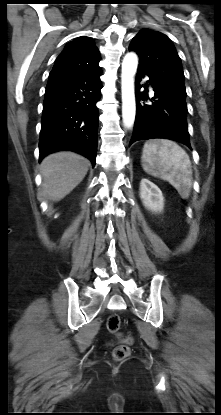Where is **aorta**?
<instances>
[{
    "mask_svg": "<svg viewBox=\"0 0 221 415\" xmlns=\"http://www.w3.org/2000/svg\"><path fill=\"white\" fill-rule=\"evenodd\" d=\"M138 67V57L135 53H127L122 62L121 92H122V119L125 128L134 124L136 103L134 92V76Z\"/></svg>",
    "mask_w": 221,
    "mask_h": 415,
    "instance_id": "obj_1",
    "label": "aorta"
}]
</instances>
